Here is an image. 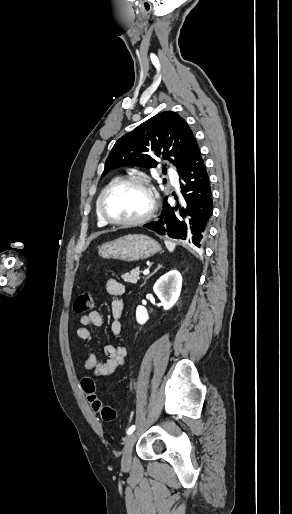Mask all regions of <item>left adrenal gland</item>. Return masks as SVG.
<instances>
[{
  "label": "left adrenal gland",
  "instance_id": "left-adrenal-gland-1",
  "mask_svg": "<svg viewBox=\"0 0 292 514\" xmlns=\"http://www.w3.org/2000/svg\"><path fill=\"white\" fill-rule=\"evenodd\" d=\"M160 268H163V266H161V264H158V268H156V270H154V272H152V274H150V276H153V274H156V272H158V270H160ZM150 276H148V278H150ZM147 280V278H146ZM144 284H146V282H144ZM144 284H142V286H144Z\"/></svg>",
  "mask_w": 292,
  "mask_h": 514
}]
</instances>
